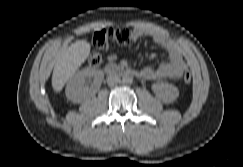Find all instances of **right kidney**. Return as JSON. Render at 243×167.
<instances>
[{
    "instance_id": "obj_1",
    "label": "right kidney",
    "mask_w": 243,
    "mask_h": 167,
    "mask_svg": "<svg viewBox=\"0 0 243 167\" xmlns=\"http://www.w3.org/2000/svg\"><path fill=\"white\" fill-rule=\"evenodd\" d=\"M103 77L104 73L100 70L85 68L79 71L67 83V99L79 103L89 98L100 88ZM91 79L93 82H90Z\"/></svg>"
}]
</instances>
